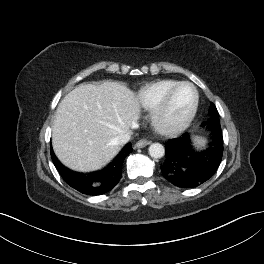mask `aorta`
Returning <instances> with one entry per match:
<instances>
[{
  "label": "aorta",
  "instance_id": "aorta-1",
  "mask_svg": "<svg viewBox=\"0 0 264 264\" xmlns=\"http://www.w3.org/2000/svg\"><path fill=\"white\" fill-rule=\"evenodd\" d=\"M149 155L152 158L155 159H160L164 156L165 154V149L164 146L160 143H153L149 146Z\"/></svg>",
  "mask_w": 264,
  "mask_h": 264
}]
</instances>
